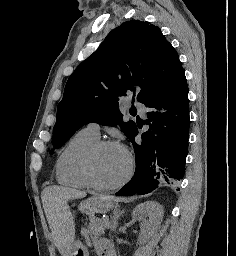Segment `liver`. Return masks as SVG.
Listing matches in <instances>:
<instances>
[{
    "mask_svg": "<svg viewBox=\"0 0 236 256\" xmlns=\"http://www.w3.org/2000/svg\"><path fill=\"white\" fill-rule=\"evenodd\" d=\"M85 196L86 192H79V190H72V188H62V186H48V188H44L42 192V204L52 236L55 240H58L57 228L58 224L61 222L60 216L62 206H66L68 200H73V198H85ZM67 216L70 228L68 238L72 244L75 236V230L74 222L68 208ZM60 242H62V240H60ZM71 244L70 246H67L66 250H63L60 244H58L59 252L62 256H70Z\"/></svg>",
    "mask_w": 236,
    "mask_h": 256,
    "instance_id": "liver-1",
    "label": "liver"
}]
</instances>
